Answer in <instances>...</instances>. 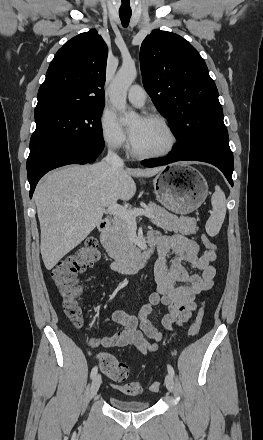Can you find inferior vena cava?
<instances>
[{
    "label": "inferior vena cava",
    "instance_id": "1",
    "mask_svg": "<svg viewBox=\"0 0 263 440\" xmlns=\"http://www.w3.org/2000/svg\"><path fill=\"white\" fill-rule=\"evenodd\" d=\"M105 160L108 165L115 167V168L123 167V165H124L123 160L112 149L108 150V154H107Z\"/></svg>",
    "mask_w": 263,
    "mask_h": 440
}]
</instances>
